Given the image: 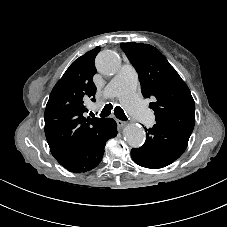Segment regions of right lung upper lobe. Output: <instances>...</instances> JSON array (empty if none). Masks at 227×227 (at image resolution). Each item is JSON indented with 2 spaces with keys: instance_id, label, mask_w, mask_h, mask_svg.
<instances>
[{
  "instance_id": "1",
  "label": "right lung upper lobe",
  "mask_w": 227,
  "mask_h": 227,
  "mask_svg": "<svg viewBox=\"0 0 227 227\" xmlns=\"http://www.w3.org/2000/svg\"><path fill=\"white\" fill-rule=\"evenodd\" d=\"M99 47L77 58L54 86L45 109V135L54 158L82 145L103 124L102 118H85L84 101L95 100L94 60Z\"/></svg>"
}]
</instances>
